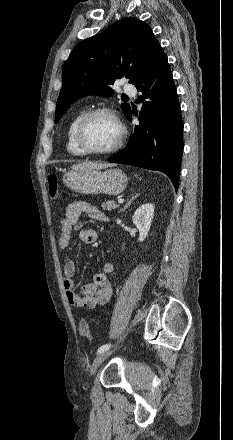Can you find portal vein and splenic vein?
<instances>
[{
  "label": "portal vein and splenic vein",
  "mask_w": 233,
  "mask_h": 440,
  "mask_svg": "<svg viewBox=\"0 0 233 440\" xmlns=\"http://www.w3.org/2000/svg\"><path fill=\"white\" fill-rule=\"evenodd\" d=\"M124 202V200L123 199H120L119 201H118V203H123Z\"/></svg>",
  "instance_id": "18ae733b"
}]
</instances>
